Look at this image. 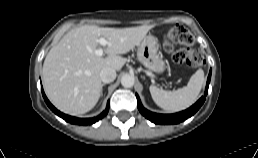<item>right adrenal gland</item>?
Here are the masks:
<instances>
[{
    "label": "right adrenal gland",
    "instance_id": "obj_1",
    "mask_svg": "<svg viewBox=\"0 0 258 158\" xmlns=\"http://www.w3.org/2000/svg\"><path fill=\"white\" fill-rule=\"evenodd\" d=\"M105 84H102V86H104ZM103 95V91L101 90V96Z\"/></svg>",
    "mask_w": 258,
    "mask_h": 158
}]
</instances>
